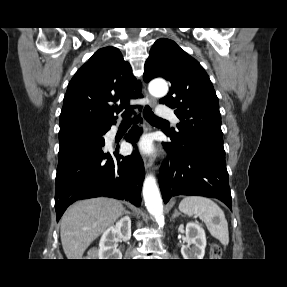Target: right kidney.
Returning <instances> with one entry per match:
<instances>
[{"label":"right kidney","instance_id":"1","mask_svg":"<svg viewBox=\"0 0 287 287\" xmlns=\"http://www.w3.org/2000/svg\"><path fill=\"white\" fill-rule=\"evenodd\" d=\"M117 237L124 240L131 238V219L128 216L121 218L115 226H110L103 233L99 243V259H122L116 245Z\"/></svg>","mask_w":287,"mask_h":287}]
</instances>
